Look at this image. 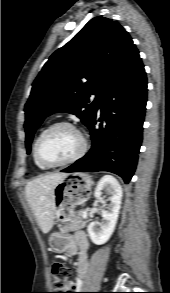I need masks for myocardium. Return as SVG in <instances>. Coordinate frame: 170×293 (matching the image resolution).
I'll return each mask as SVG.
<instances>
[{"instance_id": "myocardium-1", "label": "myocardium", "mask_w": 170, "mask_h": 293, "mask_svg": "<svg viewBox=\"0 0 170 293\" xmlns=\"http://www.w3.org/2000/svg\"><path fill=\"white\" fill-rule=\"evenodd\" d=\"M60 127H67V128L72 129L73 131H75L79 135V137L81 139V148H80V150H79V152L77 154H75L73 157H71V158H69V159H67L65 161L58 162V163H50V162L45 161L41 157L40 146H41V143L44 140V138L51 131H53L54 129L60 128ZM87 147H88L87 140L84 137V135L82 134V132L77 127H75L73 124H71L69 122H57V123H54V124L50 125L46 129H44L42 131V133L39 135V137H38V139H37V141L35 143L34 157H35L36 161L43 167H46V168H58V167H62V166H66L68 164L74 163L77 160H79L80 158H82L84 156V154L86 153V151H87Z\"/></svg>"}]
</instances>
